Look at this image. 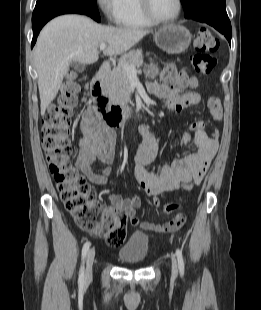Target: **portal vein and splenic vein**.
<instances>
[{"label": "portal vein and splenic vein", "mask_w": 261, "mask_h": 310, "mask_svg": "<svg viewBox=\"0 0 261 310\" xmlns=\"http://www.w3.org/2000/svg\"><path fill=\"white\" fill-rule=\"evenodd\" d=\"M107 47L105 43L100 44V50H104ZM123 69L126 71L129 77H137V74H141V70H137L135 67L124 63Z\"/></svg>", "instance_id": "portal-vein-and-splenic-vein-1"}]
</instances>
